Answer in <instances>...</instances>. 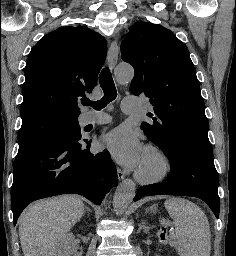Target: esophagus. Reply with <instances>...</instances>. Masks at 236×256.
<instances>
[{
    "label": "esophagus",
    "mask_w": 236,
    "mask_h": 256,
    "mask_svg": "<svg viewBox=\"0 0 236 256\" xmlns=\"http://www.w3.org/2000/svg\"><path fill=\"white\" fill-rule=\"evenodd\" d=\"M118 53L117 40H113L108 51V63L111 69H114L117 64ZM117 176L119 180H122L125 178V173L120 168H117Z\"/></svg>",
    "instance_id": "esophagus-1"
}]
</instances>
